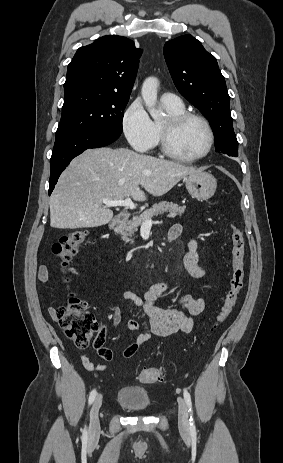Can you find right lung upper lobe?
<instances>
[{"label":"right lung upper lobe","instance_id":"obj_1","mask_svg":"<svg viewBox=\"0 0 283 463\" xmlns=\"http://www.w3.org/2000/svg\"><path fill=\"white\" fill-rule=\"evenodd\" d=\"M141 53L122 36H104L80 47L67 68L64 98L83 91L129 98Z\"/></svg>","mask_w":283,"mask_h":463}]
</instances>
